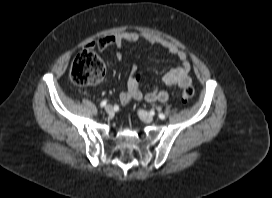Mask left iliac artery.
I'll return each mask as SVG.
<instances>
[{"label":"left iliac artery","instance_id":"1","mask_svg":"<svg viewBox=\"0 0 272 198\" xmlns=\"http://www.w3.org/2000/svg\"><path fill=\"white\" fill-rule=\"evenodd\" d=\"M158 116H159V118L162 119V120L165 119V115H164L163 113H159Z\"/></svg>","mask_w":272,"mask_h":198}]
</instances>
